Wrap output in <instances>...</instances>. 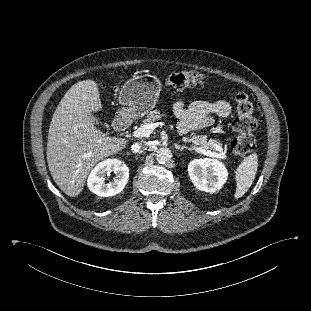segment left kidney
Listing matches in <instances>:
<instances>
[{
	"mask_svg": "<svg viewBox=\"0 0 311 311\" xmlns=\"http://www.w3.org/2000/svg\"><path fill=\"white\" fill-rule=\"evenodd\" d=\"M188 173L196 188L209 193L220 190L228 177L225 166L210 158L192 160L188 164Z\"/></svg>",
	"mask_w": 311,
	"mask_h": 311,
	"instance_id": "1",
	"label": "left kidney"
}]
</instances>
